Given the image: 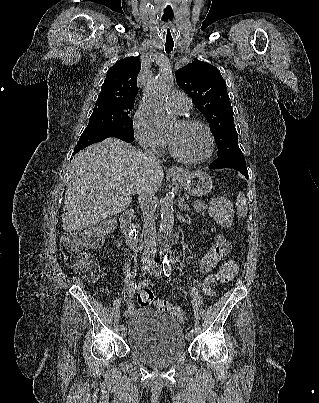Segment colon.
I'll return each mask as SVG.
<instances>
[{"label":"colon","mask_w":319,"mask_h":403,"mask_svg":"<svg viewBox=\"0 0 319 403\" xmlns=\"http://www.w3.org/2000/svg\"><path fill=\"white\" fill-rule=\"evenodd\" d=\"M210 211L214 219L222 226H228L232 222V210L228 199L224 196L214 198L210 203ZM113 223L106 221L97 227L81 231L66 233L61 241V250L65 263L72 267L78 275L88 281H95L99 277V264L89 255L90 246L97 247L102 243L103 237L112 231ZM237 264L233 261L226 262L220 271V279L223 282L230 281L237 273ZM138 304L148 307L155 303L160 311L169 313L182 324L186 323L183 309L163 299L155 300L153 292L142 289L137 295Z\"/></svg>","instance_id":"5ec220e1"}]
</instances>
